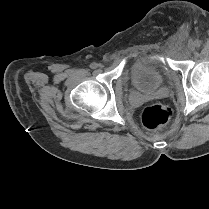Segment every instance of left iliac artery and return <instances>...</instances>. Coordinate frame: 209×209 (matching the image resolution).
<instances>
[{"instance_id": "44dca946", "label": "left iliac artery", "mask_w": 209, "mask_h": 209, "mask_svg": "<svg viewBox=\"0 0 209 209\" xmlns=\"http://www.w3.org/2000/svg\"><path fill=\"white\" fill-rule=\"evenodd\" d=\"M200 45H201V41L196 40V41H195V46H196V47H200Z\"/></svg>"}]
</instances>
